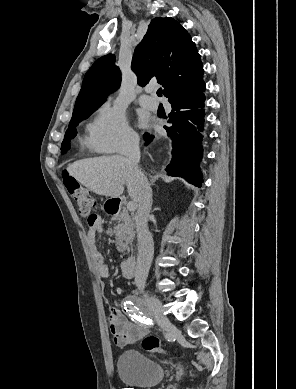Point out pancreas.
<instances>
[{
    "label": "pancreas",
    "instance_id": "cf45deb5",
    "mask_svg": "<svg viewBox=\"0 0 296 389\" xmlns=\"http://www.w3.org/2000/svg\"><path fill=\"white\" fill-rule=\"evenodd\" d=\"M115 221L111 234L115 235L117 250L124 252L128 250V244L134 237V224L127 211L123 210L112 218Z\"/></svg>",
    "mask_w": 296,
    "mask_h": 389
}]
</instances>
